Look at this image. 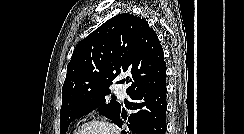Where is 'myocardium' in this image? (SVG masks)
Instances as JSON below:
<instances>
[{
    "mask_svg": "<svg viewBox=\"0 0 244 134\" xmlns=\"http://www.w3.org/2000/svg\"><path fill=\"white\" fill-rule=\"evenodd\" d=\"M90 126H99L106 129L110 134H118L117 130L111 123L101 119H91L83 122L74 130L72 134H79L83 129Z\"/></svg>",
    "mask_w": 244,
    "mask_h": 134,
    "instance_id": "myocardium-1",
    "label": "myocardium"
}]
</instances>
